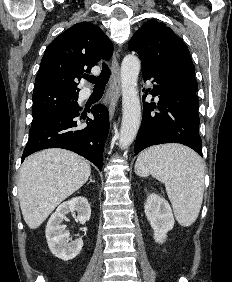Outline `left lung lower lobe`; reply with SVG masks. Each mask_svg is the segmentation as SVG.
Returning a JSON list of instances; mask_svg holds the SVG:
<instances>
[{
	"label": "left lung lower lobe",
	"mask_w": 232,
	"mask_h": 282,
	"mask_svg": "<svg viewBox=\"0 0 232 282\" xmlns=\"http://www.w3.org/2000/svg\"><path fill=\"white\" fill-rule=\"evenodd\" d=\"M145 80L152 78L150 93L159 96L158 106L143 103L141 128L135 142V155L143 149L164 143H181L202 156L199 136V100L195 77L182 74H154L142 71ZM150 89L146 90V94ZM145 95L143 98L145 99ZM158 108L159 113H153Z\"/></svg>",
	"instance_id": "1"
}]
</instances>
